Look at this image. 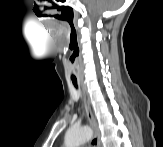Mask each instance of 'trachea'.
<instances>
[{
	"label": "trachea",
	"mask_w": 163,
	"mask_h": 147,
	"mask_svg": "<svg viewBox=\"0 0 163 147\" xmlns=\"http://www.w3.org/2000/svg\"><path fill=\"white\" fill-rule=\"evenodd\" d=\"M72 82H73L74 87H75L76 89H78L77 81H76V80H73Z\"/></svg>",
	"instance_id": "trachea-1"
}]
</instances>
